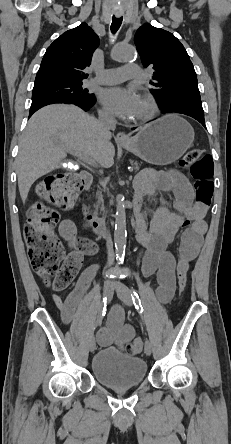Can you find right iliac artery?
Instances as JSON below:
<instances>
[{"label": "right iliac artery", "instance_id": "right-iliac-artery-1", "mask_svg": "<svg viewBox=\"0 0 231 444\" xmlns=\"http://www.w3.org/2000/svg\"><path fill=\"white\" fill-rule=\"evenodd\" d=\"M106 306H107V296H104L103 299H102V301H101V310H100V312H99V314H98V317H97L96 323H95V325H94V327H93V332H94V330H95L98 326L101 325V323H102V319H103V317H104L105 314H106Z\"/></svg>", "mask_w": 231, "mask_h": 444}]
</instances>
